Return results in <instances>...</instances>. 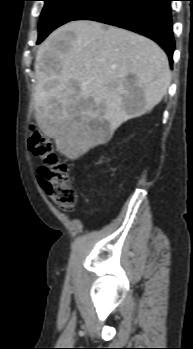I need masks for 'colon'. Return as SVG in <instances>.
I'll use <instances>...</instances> for the list:
<instances>
[{
	"instance_id": "colon-1",
	"label": "colon",
	"mask_w": 193,
	"mask_h": 349,
	"mask_svg": "<svg viewBox=\"0 0 193 349\" xmlns=\"http://www.w3.org/2000/svg\"><path fill=\"white\" fill-rule=\"evenodd\" d=\"M30 151L41 160L38 178L48 196L62 209L70 210L76 204L69 165L57 154L52 140L32 126L28 139Z\"/></svg>"
}]
</instances>
